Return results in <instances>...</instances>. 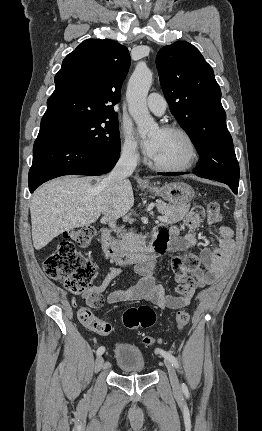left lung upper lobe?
Here are the masks:
<instances>
[{
  "label": "left lung upper lobe",
  "mask_w": 262,
  "mask_h": 431,
  "mask_svg": "<svg viewBox=\"0 0 262 431\" xmlns=\"http://www.w3.org/2000/svg\"><path fill=\"white\" fill-rule=\"evenodd\" d=\"M156 65L170 111L199 152L195 172L227 185H239V165L212 67L185 41L161 48Z\"/></svg>",
  "instance_id": "1"
}]
</instances>
